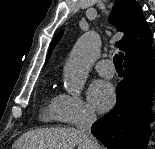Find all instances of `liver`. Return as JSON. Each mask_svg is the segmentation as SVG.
<instances>
[{
  "label": "liver",
  "instance_id": "6515ba94",
  "mask_svg": "<svg viewBox=\"0 0 155 149\" xmlns=\"http://www.w3.org/2000/svg\"><path fill=\"white\" fill-rule=\"evenodd\" d=\"M87 149L83 135L75 128L35 129L24 133L13 149Z\"/></svg>",
  "mask_w": 155,
  "mask_h": 149
}]
</instances>
